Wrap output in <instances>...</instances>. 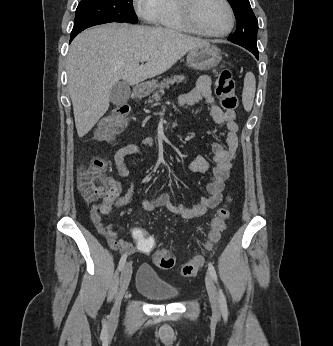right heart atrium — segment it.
Listing matches in <instances>:
<instances>
[{"label":"right heart atrium","mask_w":333,"mask_h":346,"mask_svg":"<svg viewBox=\"0 0 333 346\" xmlns=\"http://www.w3.org/2000/svg\"><path fill=\"white\" fill-rule=\"evenodd\" d=\"M164 0H133V5L137 15L148 23H156Z\"/></svg>","instance_id":"1"}]
</instances>
